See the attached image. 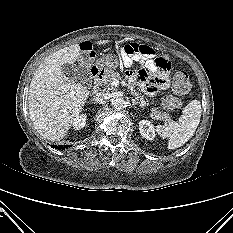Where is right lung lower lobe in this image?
Returning a JSON list of instances; mask_svg holds the SVG:
<instances>
[{"label":"right lung lower lobe","mask_w":233,"mask_h":233,"mask_svg":"<svg viewBox=\"0 0 233 233\" xmlns=\"http://www.w3.org/2000/svg\"><path fill=\"white\" fill-rule=\"evenodd\" d=\"M51 147L58 149V150H64L65 148H68L70 146L67 145H51Z\"/></svg>","instance_id":"right-lung-lower-lobe-1"}]
</instances>
